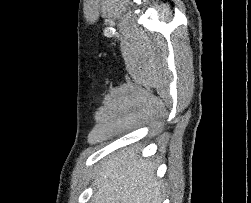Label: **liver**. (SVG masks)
Returning <instances> with one entry per match:
<instances>
[{"label": "liver", "instance_id": "obj_1", "mask_svg": "<svg viewBox=\"0 0 251 203\" xmlns=\"http://www.w3.org/2000/svg\"><path fill=\"white\" fill-rule=\"evenodd\" d=\"M156 167L131 147L103 161L94 178V203H161Z\"/></svg>", "mask_w": 251, "mask_h": 203}]
</instances>
